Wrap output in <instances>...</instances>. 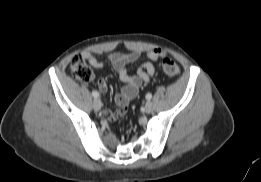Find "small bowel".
Wrapping results in <instances>:
<instances>
[{
  "instance_id": "small-bowel-1",
  "label": "small bowel",
  "mask_w": 261,
  "mask_h": 182,
  "mask_svg": "<svg viewBox=\"0 0 261 182\" xmlns=\"http://www.w3.org/2000/svg\"><path fill=\"white\" fill-rule=\"evenodd\" d=\"M146 61L139 65L137 74L131 75L128 72V66L138 61L141 56ZM81 56L89 62L94 68H103L105 63L99 60L93 53L85 51ZM166 56L162 48H153L143 54L139 51L128 53L113 52L107 55V61L113 66L120 80L123 83L121 91L115 97L116 110H104V117L109 121H115L121 118L128 110L129 102L136 97L139 88L144 83H148L155 74V68L152 62H156ZM99 89L102 93L107 92V84L104 79L98 81Z\"/></svg>"
}]
</instances>
